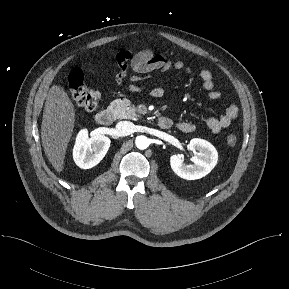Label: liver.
I'll use <instances>...</instances> for the list:
<instances>
[{
    "label": "liver",
    "mask_w": 289,
    "mask_h": 289,
    "mask_svg": "<svg viewBox=\"0 0 289 289\" xmlns=\"http://www.w3.org/2000/svg\"><path fill=\"white\" fill-rule=\"evenodd\" d=\"M75 125V108L63 87L53 85L48 91L41 139L44 152L58 172L64 169L65 154Z\"/></svg>",
    "instance_id": "liver-1"
}]
</instances>
